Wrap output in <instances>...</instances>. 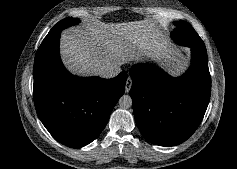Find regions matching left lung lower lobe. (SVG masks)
<instances>
[{
    "label": "left lung lower lobe",
    "mask_w": 237,
    "mask_h": 169,
    "mask_svg": "<svg viewBox=\"0 0 237 169\" xmlns=\"http://www.w3.org/2000/svg\"><path fill=\"white\" fill-rule=\"evenodd\" d=\"M191 48V66L173 78L154 65L137 64L129 73V92L138 128L153 144L174 146L187 140L207 109L211 78L206 48Z\"/></svg>",
    "instance_id": "obj_1"
}]
</instances>
